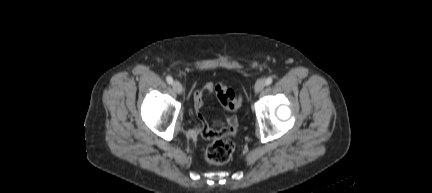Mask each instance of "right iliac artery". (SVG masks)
<instances>
[{
    "mask_svg": "<svg viewBox=\"0 0 432 193\" xmlns=\"http://www.w3.org/2000/svg\"><path fill=\"white\" fill-rule=\"evenodd\" d=\"M166 81L168 82V84H172L173 83V78L171 76H167L166 77Z\"/></svg>",
    "mask_w": 432,
    "mask_h": 193,
    "instance_id": "obj_1",
    "label": "right iliac artery"
}]
</instances>
